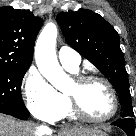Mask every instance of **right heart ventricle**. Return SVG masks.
<instances>
[{
	"label": "right heart ventricle",
	"mask_w": 136,
	"mask_h": 136,
	"mask_svg": "<svg viewBox=\"0 0 136 136\" xmlns=\"http://www.w3.org/2000/svg\"><path fill=\"white\" fill-rule=\"evenodd\" d=\"M68 71L71 72V73L77 72V71H72V70H68ZM60 96H61L62 101H63V106H62V109H61L59 115L57 116V118L55 120H59V119H62V118H73L74 116L72 115V113L70 111L69 104H68L66 96L63 95V94H60Z\"/></svg>",
	"instance_id": "1"
}]
</instances>
